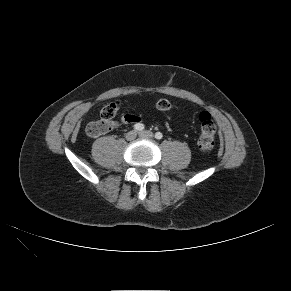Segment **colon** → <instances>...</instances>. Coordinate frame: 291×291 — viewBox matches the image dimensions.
<instances>
[{
  "label": "colon",
  "instance_id": "5ec220e1",
  "mask_svg": "<svg viewBox=\"0 0 291 291\" xmlns=\"http://www.w3.org/2000/svg\"><path fill=\"white\" fill-rule=\"evenodd\" d=\"M123 103L115 99L112 103L102 107L98 119L90 122L86 126V134L91 137H96L104 134L112 128V118L116 114L117 109H120ZM171 103L167 99H159L156 103V108L160 111L170 109ZM200 134L197 141L198 148L203 152H208L214 148L216 125L211 115L208 112H202L199 115Z\"/></svg>",
  "mask_w": 291,
  "mask_h": 291
}]
</instances>
